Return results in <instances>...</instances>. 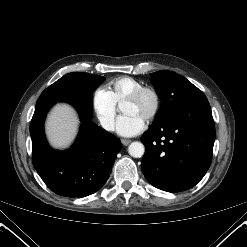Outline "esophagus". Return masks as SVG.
<instances>
[{
	"mask_svg": "<svg viewBox=\"0 0 247 247\" xmlns=\"http://www.w3.org/2000/svg\"><path fill=\"white\" fill-rule=\"evenodd\" d=\"M121 142H122V144L124 146H127V145H129L131 143V140H129V139H122Z\"/></svg>",
	"mask_w": 247,
	"mask_h": 247,
	"instance_id": "obj_1",
	"label": "esophagus"
}]
</instances>
